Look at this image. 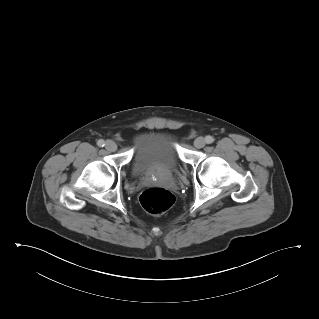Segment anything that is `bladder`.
<instances>
[{"label":"bladder","mask_w":319,"mask_h":319,"mask_svg":"<svg viewBox=\"0 0 319 319\" xmlns=\"http://www.w3.org/2000/svg\"><path fill=\"white\" fill-rule=\"evenodd\" d=\"M181 164L174 133L148 131L140 137L133 150L132 172L141 176L150 171L174 172Z\"/></svg>","instance_id":"bladder-1"}]
</instances>
